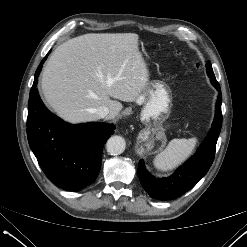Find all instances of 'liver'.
Returning <instances> with one entry per match:
<instances>
[{
	"label": "liver",
	"mask_w": 247,
	"mask_h": 247,
	"mask_svg": "<svg viewBox=\"0 0 247 247\" xmlns=\"http://www.w3.org/2000/svg\"><path fill=\"white\" fill-rule=\"evenodd\" d=\"M135 33H89L56 48L41 81L46 103L64 121H97L104 105L114 119L122 110L117 101L134 102L145 90L149 71Z\"/></svg>",
	"instance_id": "1"
}]
</instances>
